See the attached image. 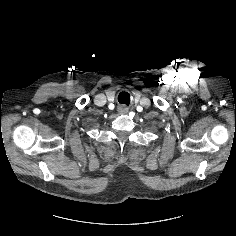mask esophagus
I'll list each match as a JSON object with an SVG mask.
<instances>
[{"label": "esophagus", "instance_id": "obj_1", "mask_svg": "<svg viewBox=\"0 0 236 236\" xmlns=\"http://www.w3.org/2000/svg\"><path fill=\"white\" fill-rule=\"evenodd\" d=\"M118 111L120 112V113H122V114H124V113H127L128 112V109H127V107L126 106H120L119 108H118Z\"/></svg>", "mask_w": 236, "mask_h": 236}]
</instances>
